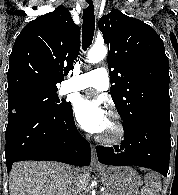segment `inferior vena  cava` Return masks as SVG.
Listing matches in <instances>:
<instances>
[{
  "label": "inferior vena cava",
  "instance_id": "obj_1",
  "mask_svg": "<svg viewBox=\"0 0 178 195\" xmlns=\"http://www.w3.org/2000/svg\"><path fill=\"white\" fill-rule=\"evenodd\" d=\"M73 178L76 180L78 177H79V174H78V171H77V169L76 170H74V172H73Z\"/></svg>",
  "mask_w": 178,
  "mask_h": 195
}]
</instances>
